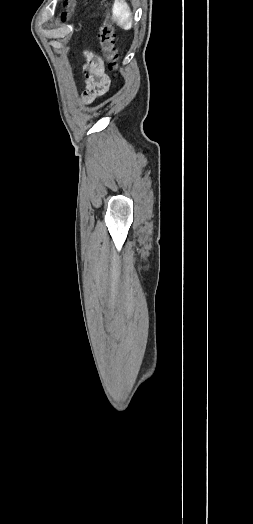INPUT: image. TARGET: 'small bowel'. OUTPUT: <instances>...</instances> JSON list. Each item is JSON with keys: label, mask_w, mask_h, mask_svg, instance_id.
I'll list each match as a JSON object with an SVG mask.
<instances>
[{"label": "small bowel", "mask_w": 253, "mask_h": 524, "mask_svg": "<svg viewBox=\"0 0 253 524\" xmlns=\"http://www.w3.org/2000/svg\"><path fill=\"white\" fill-rule=\"evenodd\" d=\"M87 60L88 64L84 69L86 88L83 97L90 102L108 91L110 80L104 72L101 60L96 55L88 52Z\"/></svg>", "instance_id": "obj_1"}]
</instances>
